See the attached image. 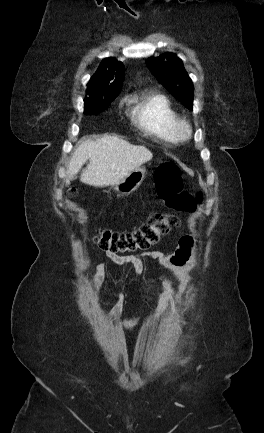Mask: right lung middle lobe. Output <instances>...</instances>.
Returning <instances> with one entry per match:
<instances>
[{"label": "right lung middle lobe", "mask_w": 264, "mask_h": 433, "mask_svg": "<svg viewBox=\"0 0 264 433\" xmlns=\"http://www.w3.org/2000/svg\"><path fill=\"white\" fill-rule=\"evenodd\" d=\"M115 97L109 99H92L85 100L84 113L85 114H96L105 110L113 101Z\"/></svg>", "instance_id": "obj_1"}]
</instances>
